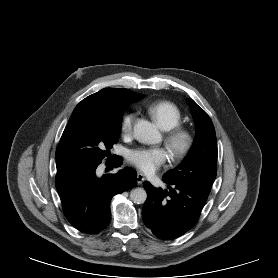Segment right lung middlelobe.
I'll use <instances>...</instances> for the list:
<instances>
[{
  "label": "right lung middle lobe",
  "mask_w": 278,
  "mask_h": 278,
  "mask_svg": "<svg viewBox=\"0 0 278 278\" xmlns=\"http://www.w3.org/2000/svg\"><path fill=\"white\" fill-rule=\"evenodd\" d=\"M132 102L77 105L56 150L57 170L114 159L110 149L118 142L124 110Z\"/></svg>",
  "instance_id": "obj_1"
}]
</instances>
